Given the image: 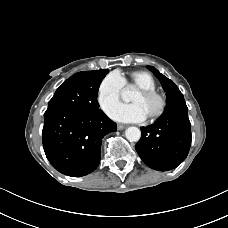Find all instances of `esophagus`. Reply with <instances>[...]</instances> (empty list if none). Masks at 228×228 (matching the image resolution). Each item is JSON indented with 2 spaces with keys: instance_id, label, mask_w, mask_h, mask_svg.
Wrapping results in <instances>:
<instances>
[{
  "instance_id": "34e87169",
  "label": "esophagus",
  "mask_w": 228,
  "mask_h": 228,
  "mask_svg": "<svg viewBox=\"0 0 228 228\" xmlns=\"http://www.w3.org/2000/svg\"><path fill=\"white\" fill-rule=\"evenodd\" d=\"M126 128V125H123V124H118L117 125V129L118 130H123V129H125Z\"/></svg>"
}]
</instances>
